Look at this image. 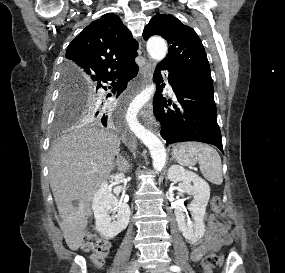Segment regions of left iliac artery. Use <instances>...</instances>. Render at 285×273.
Segmentation results:
<instances>
[{
    "mask_svg": "<svg viewBox=\"0 0 285 273\" xmlns=\"http://www.w3.org/2000/svg\"><path fill=\"white\" fill-rule=\"evenodd\" d=\"M170 270L173 272H180L181 268L179 266L172 265V266H170Z\"/></svg>",
    "mask_w": 285,
    "mask_h": 273,
    "instance_id": "obj_1",
    "label": "left iliac artery"
}]
</instances>
